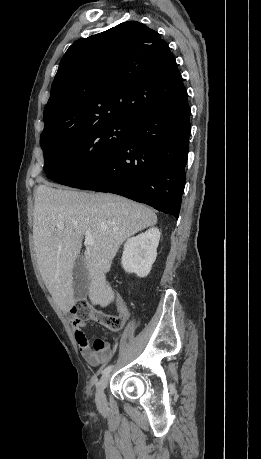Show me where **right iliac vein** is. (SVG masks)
Segmentation results:
<instances>
[{"instance_id":"obj_1","label":"right iliac vein","mask_w":261,"mask_h":459,"mask_svg":"<svg viewBox=\"0 0 261 459\" xmlns=\"http://www.w3.org/2000/svg\"><path fill=\"white\" fill-rule=\"evenodd\" d=\"M109 379H110L109 373L103 374L97 384L95 400H96L97 406L101 409L106 407V396H105L104 391L108 385Z\"/></svg>"}]
</instances>
